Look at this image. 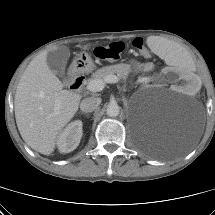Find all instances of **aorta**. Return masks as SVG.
Instances as JSON below:
<instances>
[{"instance_id": "762f6f07", "label": "aorta", "mask_w": 215, "mask_h": 215, "mask_svg": "<svg viewBox=\"0 0 215 215\" xmlns=\"http://www.w3.org/2000/svg\"><path fill=\"white\" fill-rule=\"evenodd\" d=\"M120 113V107L117 103H110L106 109V114L109 117H116Z\"/></svg>"}]
</instances>
